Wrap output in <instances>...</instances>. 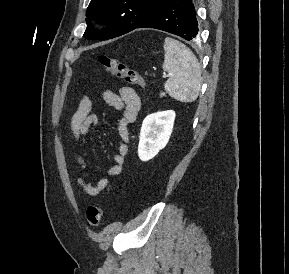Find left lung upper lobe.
Returning a JSON list of instances; mask_svg holds the SVG:
<instances>
[{
  "label": "left lung upper lobe",
  "mask_w": 289,
  "mask_h": 274,
  "mask_svg": "<svg viewBox=\"0 0 289 274\" xmlns=\"http://www.w3.org/2000/svg\"><path fill=\"white\" fill-rule=\"evenodd\" d=\"M165 0H91L86 11L87 28L83 37L108 40L124 35L139 26ZM93 21L112 25L101 30Z\"/></svg>",
  "instance_id": "obj_1"
}]
</instances>
